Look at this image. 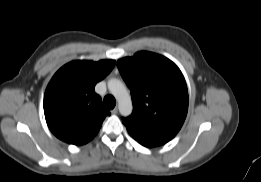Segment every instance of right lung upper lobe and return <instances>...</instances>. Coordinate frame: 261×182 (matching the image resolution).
<instances>
[{
    "label": "right lung upper lobe",
    "instance_id": "obj_1",
    "mask_svg": "<svg viewBox=\"0 0 261 182\" xmlns=\"http://www.w3.org/2000/svg\"><path fill=\"white\" fill-rule=\"evenodd\" d=\"M114 65V60H76L55 73L45 91L44 113L49 129L57 138L83 145L97 135L110 113L94 88Z\"/></svg>",
    "mask_w": 261,
    "mask_h": 182
}]
</instances>
